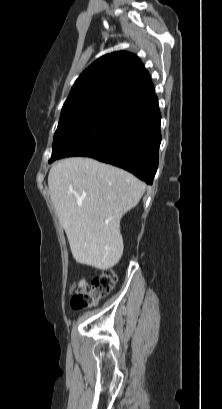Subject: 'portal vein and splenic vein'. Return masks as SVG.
Returning a JSON list of instances; mask_svg holds the SVG:
<instances>
[{"label":"portal vein and splenic vein","instance_id":"portal-vein-and-splenic-vein-1","mask_svg":"<svg viewBox=\"0 0 222 409\" xmlns=\"http://www.w3.org/2000/svg\"><path fill=\"white\" fill-rule=\"evenodd\" d=\"M82 203L81 202H78V205H81Z\"/></svg>","mask_w":222,"mask_h":409}]
</instances>
